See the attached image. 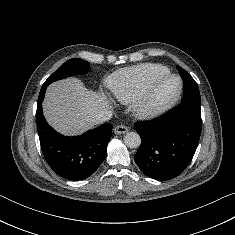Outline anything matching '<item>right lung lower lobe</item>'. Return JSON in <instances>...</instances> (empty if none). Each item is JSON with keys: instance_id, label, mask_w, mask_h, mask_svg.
Returning a JSON list of instances; mask_svg holds the SVG:
<instances>
[{"instance_id": "1", "label": "right lung lower lobe", "mask_w": 235, "mask_h": 235, "mask_svg": "<svg viewBox=\"0 0 235 235\" xmlns=\"http://www.w3.org/2000/svg\"><path fill=\"white\" fill-rule=\"evenodd\" d=\"M47 86H42L37 103L36 121L43 155L49 166L63 178L82 180L91 176L106 156L112 133L111 124H102L80 136L65 137L46 122L42 101Z\"/></svg>"}]
</instances>
